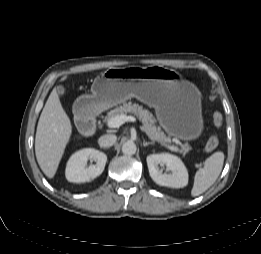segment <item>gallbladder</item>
I'll use <instances>...</instances> for the list:
<instances>
[{
	"mask_svg": "<svg viewBox=\"0 0 261 254\" xmlns=\"http://www.w3.org/2000/svg\"><path fill=\"white\" fill-rule=\"evenodd\" d=\"M57 91L60 95H64L65 92H66V89L63 86L60 85V86L57 87Z\"/></svg>",
	"mask_w": 261,
	"mask_h": 254,
	"instance_id": "gallbladder-1",
	"label": "gallbladder"
}]
</instances>
